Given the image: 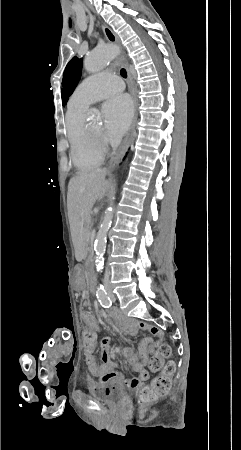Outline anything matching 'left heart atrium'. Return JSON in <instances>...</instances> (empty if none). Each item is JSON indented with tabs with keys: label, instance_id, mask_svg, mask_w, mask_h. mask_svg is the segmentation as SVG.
<instances>
[{
	"label": "left heart atrium",
	"instance_id": "left-heart-atrium-1",
	"mask_svg": "<svg viewBox=\"0 0 241 450\" xmlns=\"http://www.w3.org/2000/svg\"><path fill=\"white\" fill-rule=\"evenodd\" d=\"M105 110L108 114L107 127L110 133L117 137L122 136L133 120L134 107L131 98L126 94H120L106 103Z\"/></svg>",
	"mask_w": 241,
	"mask_h": 450
}]
</instances>
